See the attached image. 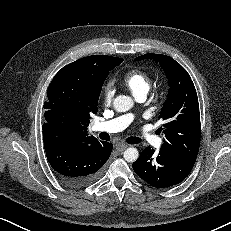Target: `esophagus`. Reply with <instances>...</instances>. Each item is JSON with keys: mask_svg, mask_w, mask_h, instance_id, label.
I'll return each instance as SVG.
<instances>
[{"mask_svg": "<svg viewBox=\"0 0 231 231\" xmlns=\"http://www.w3.org/2000/svg\"><path fill=\"white\" fill-rule=\"evenodd\" d=\"M127 147H128V145L123 144V143H118V144L116 145V149H117V151H119V152L124 151Z\"/></svg>", "mask_w": 231, "mask_h": 231, "instance_id": "esophagus-1", "label": "esophagus"}]
</instances>
